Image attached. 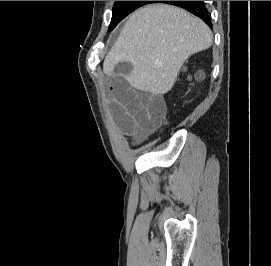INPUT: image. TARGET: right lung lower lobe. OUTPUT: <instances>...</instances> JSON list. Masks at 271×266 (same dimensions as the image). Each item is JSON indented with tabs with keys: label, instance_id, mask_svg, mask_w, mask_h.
Wrapping results in <instances>:
<instances>
[{
	"label": "right lung lower lobe",
	"instance_id": "right-lung-lower-lobe-1",
	"mask_svg": "<svg viewBox=\"0 0 271 266\" xmlns=\"http://www.w3.org/2000/svg\"><path fill=\"white\" fill-rule=\"evenodd\" d=\"M172 4L186 9L197 17L201 18L208 26L212 27L211 19L203 1H157L156 3Z\"/></svg>",
	"mask_w": 271,
	"mask_h": 266
}]
</instances>
